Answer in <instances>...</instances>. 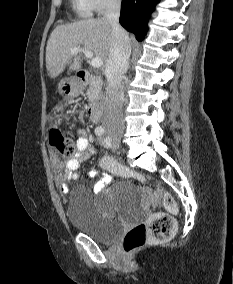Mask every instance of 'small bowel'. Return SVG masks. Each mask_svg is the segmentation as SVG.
Returning a JSON list of instances; mask_svg holds the SVG:
<instances>
[{
	"label": "small bowel",
	"mask_w": 233,
	"mask_h": 284,
	"mask_svg": "<svg viewBox=\"0 0 233 284\" xmlns=\"http://www.w3.org/2000/svg\"><path fill=\"white\" fill-rule=\"evenodd\" d=\"M78 136L76 141V151L71 154L65 163L59 162L54 156V172L55 181L62 192H66L69 188V182L78 178L77 170L80 164L95 155V149L91 139L87 136L83 129H77ZM99 174L98 169H92L88 177L93 179ZM108 183V177L103 176L95 185V191H100Z\"/></svg>",
	"instance_id": "small-bowel-1"
}]
</instances>
